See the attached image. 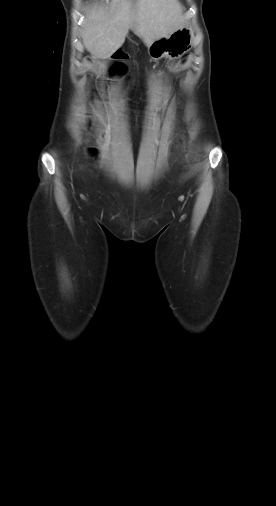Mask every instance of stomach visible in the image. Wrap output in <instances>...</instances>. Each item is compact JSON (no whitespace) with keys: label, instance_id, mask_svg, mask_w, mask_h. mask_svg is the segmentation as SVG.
I'll return each instance as SVG.
<instances>
[{"label":"stomach","instance_id":"0dacf381","mask_svg":"<svg viewBox=\"0 0 276 506\" xmlns=\"http://www.w3.org/2000/svg\"><path fill=\"white\" fill-rule=\"evenodd\" d=\"M193 45V32L187 26L175 30L166 37H161L148 45V53L154 60L163 57L179 58Z\"/></svg>","mask_w":276,"mask_h":506}]
</instances>
